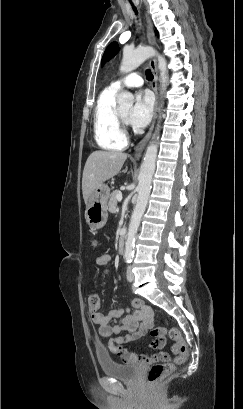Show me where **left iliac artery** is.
Listing matches in <instances>:
<instances>
[{"instance_id": "left-iliac-artery-1", "label": "left iliac artery", "mask_w": 243, "mask_h": 409, "mask_svg": "<svg viewBox=\"0 0 243 409\" xmlns=\"http://www.w3.org/2000/svg\"><path fill=\"white\" fill-rule=\"evenodd\" d=\"M127 262H128V263H130V262H131V260H128Z\"/></svg>"}]
</instances>
